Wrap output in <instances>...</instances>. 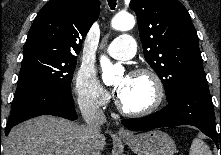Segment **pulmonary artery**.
I'll list each match as a JSON object with an SVG mask.
<instances>
[{"label": "pulmonary artery", "mask_w": 221, "mask_h": 155, "mask_svg": "<svg viewBox=\"0 0 221 155\" xmlns=\"http://www.w3.org/2000/svg\"><path fill=\"white\" fill-rule=\"evenodd\" d=\"M135 41L132 36L122 34L116 37L107 48L108 54L118 60H127L135 53Z\"/></svg>", "instance_id": "1"}]
</instances>
